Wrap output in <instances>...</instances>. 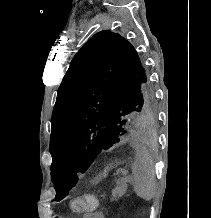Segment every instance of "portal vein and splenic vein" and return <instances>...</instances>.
<instances>
[{
  "label": "portal vein and splenic vein",
  "mask_w": 211,
  "mask_h": 218,
  "mask_svg": "<svg viewBox=\"0 0 211 218\" xmlns=\"http://www.w3.org/2000/svg\"><path fill=\"white\" fill-rule=\"evenodd\" d=\"M123 176L128 175V171L122 172Z\"/></svg>",
  "instance_id": "1"
}]
</instances>
